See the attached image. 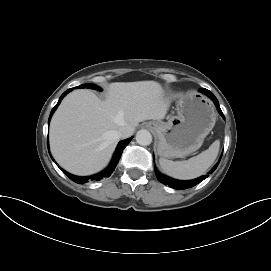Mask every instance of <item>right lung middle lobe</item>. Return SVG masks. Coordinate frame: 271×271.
I'll return each instance as SVG.
<instances>
[{"label": "right lung middle lobe", "instance_id": "right-lung-middle-lobe-1", "mask_svg": "<svg viewBox=\"0 0 271 271\" xmlns=\"http://www.w3.org/2000/svg\"><path fill=\"white\" fill-rule=\"evenodd\" d=\"M76 88H92V89H95V90H98V91L101 90V88L98 87V86L95 85V84H83V85H80V86H78V87H76Z\"/></svg>", "mask_w": 271, "mask_h": 271}]
</instances>
